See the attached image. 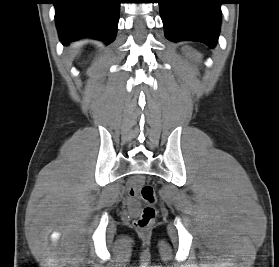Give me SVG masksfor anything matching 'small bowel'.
I'll use <instances>...</instances> for the list:
<instances>
[{
    "label": "small bowel",
    "instance_id": "obj_1",
    "mask_svg": "<svg viewBox=\"0 0 279 267\" xmlns=\"http://www.w3.org/2000/svg\"><path fill=\"white\" fill-rule=\"evenodd\" d=\"M138 184H139L138 179H134L130 182V194L131 195L135 194Z\"/></svg>",
    "mask_w": 279,
    "mask_h": 267
}]
</instances>
